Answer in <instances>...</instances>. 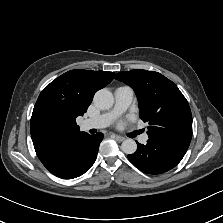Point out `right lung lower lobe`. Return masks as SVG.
<instances>
[{
  "label": "right lung lower lobe",
  "mask_w": 223,
  "mask_h": 223,
  "mask_svg": "<svg viewBox=\"0 0 223 223\" xmlns=\"http://www.w3.org/2000/svg\"><path fill=\"white\" fill-rule=\"evenodd\" d=\"M103 134L83 132L62 153L43 163L55 176L72 179L81 176L94 164Z\"/></svg>",
  "instance_id": "98d812e1"
}]
</instances>
